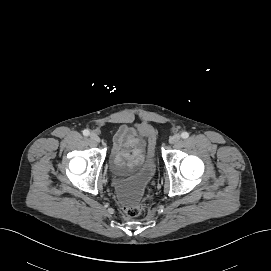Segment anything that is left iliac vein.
<instances>
[{"mask_svg":"<svg viewBox=\"0 0 271 271\" xmlns=\"http://www.w3.org/2000/svg\"><path fill=\"white\" fill-rule=\"evenodd\" d=\"M180 139H181V136L179 134H174V135H172L170 137L169 143L170 144H176V143H178L180 141Z\"/></svg>","mask_w":271,"mask_h":271,"instance_id":"obj_1","label":"left iliac vein"}]
</instances>
